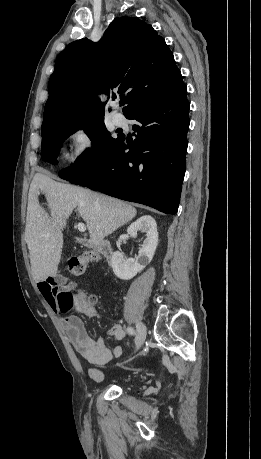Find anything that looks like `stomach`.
I'll return each instance as SVG.
<instances>
[{
	"label": "stomach",
	"mask_w": 261,
	"mask_h": 459,
	"mask_svg": "<svg viewBox=\"0 0 261 459\" xmlns=\"http://www.w3.org/2000/svg\"><path fill=\"white\" fill-rule=\"evenodd\" d=\"M41 192H43V190L40 189V190H39V193H41Z\"/></svg>",
	"instance_id": "obj_1"
}]
</instances>
